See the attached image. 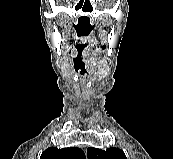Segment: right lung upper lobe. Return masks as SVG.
<instances>
[{
    "label": "right lung upper lobe",
    "mask_w": 173,
    "mask_h": 159,
    "mask_svg": "<svg viewBox=\"0 0 173 159\" xmlns=\"http://www.w3.org/2000/svg\"><path fill=\"white\" fill-rule=\"evenodd\" d=\"M40 159H86L82 149L78 147L57 149L50 147L46 149Z\"/></svg>",
    "instance_id": "right-lung-upper-lobe-1"
}]
</instances>
